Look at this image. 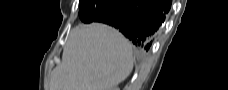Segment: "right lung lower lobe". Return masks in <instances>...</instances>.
Returning a JSON list of instances; mask_svg holds the SVG:
<instances>
[{"instance_id": "1", "label": "right lung lower lobe", "mask_w": 228, "mask_h": 90, "mask_svg": "<svg viewBox=\"0 0 228 90\" xmlns=\"http://www.w3.org/2000/svg\"><path fill=\"white\" fill-rule=\"evenodd\" d=\"M170 7L171 0H97L83 9L81 20L119 29L143 55L150 50Z\"/></svg>"}]
</instances>
